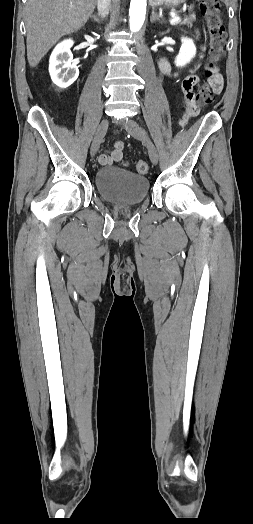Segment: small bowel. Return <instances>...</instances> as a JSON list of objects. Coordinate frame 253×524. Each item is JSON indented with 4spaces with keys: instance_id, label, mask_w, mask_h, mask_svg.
Masks as SVG:
<instances>
[{
    "instance_id": "c3829d8e",
    "label": "small bowel",
    "mask_w": 253,
    "mask_h": 524,
    "mask_svg": "<svg viewBox=\"0 0 253 524\" xmlns=\"http://www.w3.org/2000/svg\"><path fill=\"white\" fill-rule=\"evenodd\" d=\"M159 69L162 74L170 78H176L178 74L173 69L170 62L164 58L158 62ZM199 78L194 73H191L188 77L182 78L180 81L181 86V97L185 104V118L183 124L190 126L192 124L191 118H199L203 112V105L197 101V90L194 86L198 83ZM209 84L216 94H220L223 90L224 81L223 77L219 72L209 79ZM124 142L122 140H116L113 143V149L106 151L99 156V163L102 165H112L114 162H118L122 159Z\"/></svg>"
}]
</instances>
